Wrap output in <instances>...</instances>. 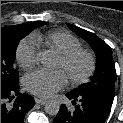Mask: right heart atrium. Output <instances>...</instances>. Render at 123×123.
Here are the masks:
<instances>
[{
    "mask_svg": "<svg viewBox=\"0 0 123 123\" xmlns=\"http://www.w3.org/2000/svg\"><path fill=\"white\" fill-rule=\"evenodd\" d=\"M38 48L30 38L20 42L16 50V60L23 70L32 69L37 63Z\"/></svg>",
    "mask_w": 123,
    "mask_h": 123,
    "instance_id": "1",
    "label": "right heart atrium"
}]
</instances>
